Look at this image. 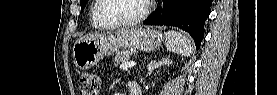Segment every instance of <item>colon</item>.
<instances>
[{"instance_id": "obj_1", "label": "colon", "mask_w": 277, "mask_h": 95, "mask_svg": "<svg viewBox=\"0 0 277 95\" xmlns=\"http://www.w3.org/2000/svg\"><path fill=\"white\" fill-rule=\"evenodd\" d=\"M100 88L99 78L93 74L85 73L80 78V91L82 95H98Z\"/></svg>"}]
</instances>
